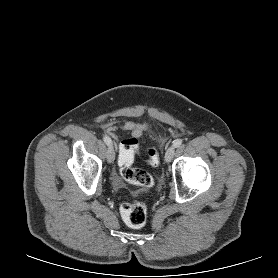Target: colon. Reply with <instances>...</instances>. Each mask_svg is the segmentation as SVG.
<instances>
[{"mask_svg":"<svg viewBox=\"0 0 278 278\" xmlns=\"http://www.w3.org/2000/svg\"><path fill=\"white\" fill-rule=\"evenodd\" d=\"M138 148V141L135 138L125 139L119 146L118 165L121 176L129 183L143 188L153 185L151 175L133 167L135 152ZM147 161L151 166L159 164V153L155 148L148 150ZM120 213L124 222L133 228L142 227L147 219V208L141 202H124L120 206Z\"/></svg>","mask_w":278,"mask_h":278,"instance_id":"1","label":"colon"}]
</instances>
